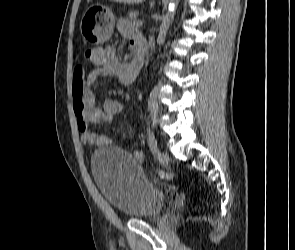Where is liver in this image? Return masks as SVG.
I'll list each match as a JSON object with an SVG mask.
<instances>
[{"instance_id": "obj_1", "label": "liver", "mask_w": 295, "mask_h": 250, "mask_svg": "<svg viewBox=\"0 0 295 250\" xmlns=\"http://www.w3.org/2000/svg\"><path fill=\"white\" fill-rule=\"evenodd\" d=\"M113 2H119V3H127V4H139L142 3L144 0H111Z\"/></svg>"}]
</instances>
